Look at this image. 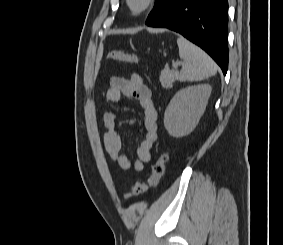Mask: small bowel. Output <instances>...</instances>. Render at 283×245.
Masks as SVG:
<instances>
[{"label": "small bowel", "instance_id": "1", "mask_svg": "<svg viewBox=\"0 0 283 245\" xmlns=\"http://www.w3.org/2000/svg\"><path fill=\"white\" fill-rule=\"evenodd\" d=\"M125 96L137 100L143 112L144 137L137 149L135 157L127 156L122 152V136L116 126V112L111 110L103 114L105 132L103 143L110 158L122 169L132 167L141 171L144 165L151 160V149L157 141L158 112L154 106L150 89L143 83L141 77L132 74L129 77L113 76L106 98L111 105L120 102Z\"/></svg>", "mask_w": 283, "mask_h": 245}]
</instances>
